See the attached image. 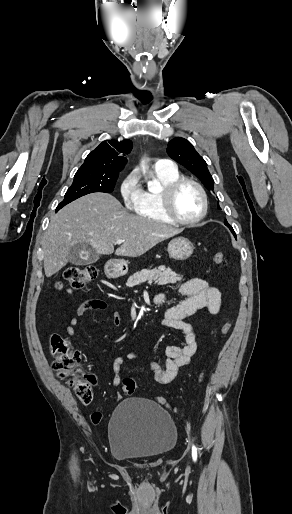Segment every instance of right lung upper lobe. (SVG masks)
<instances>
[{"mask_svg":"<svg viewBox=\"0 0 292 514\" xmlns=\"http://www.w3.org/2000/svg\"><path fill=\"white\" fill-rule=\"evenodd\" d=\"M132 150V141L109 140L102 142L86 157L75 175L118 177L127 159L124 157Z\"/></svg>","mask_w":292,"mask_h":514,"instance_id":"cb5924a9","label":"right lung upper lobe"}]
</instances>
